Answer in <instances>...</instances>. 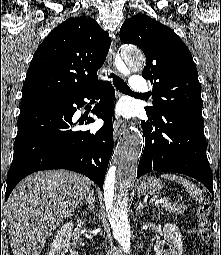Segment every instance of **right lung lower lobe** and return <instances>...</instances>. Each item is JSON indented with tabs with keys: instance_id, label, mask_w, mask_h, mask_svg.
<instances>
[{
	"instance_id": "98d812e1",
	"label": "right lung lower lobe",
	"mask_w": 221,
	"mask_h": 255,
	"mask_svg": "<svg viewBox=\"0 0 221 255\" xmlns=\"http://www.w3.org/2000/svg\"><path fill=\"white\" fill-rule=\"evenodd\" d=\"M96 96L100 101L92 113L102 118L104 125L95 132L75 130L84 121L74 124L73 114L86 103L84 98ZM114 100L115 90L110 82H105L73 96L22 105L5 200L20 180L40 170H73L86 175L102 189L113 151ZM92 122L94 119L89 117L85 124Z\"/></svg>"
}]
</instances>
